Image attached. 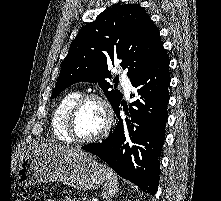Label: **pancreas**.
<instances>
[{
  "label": "pancreas",
  "instance_id": "1",
  "mask_svg": "<svg viewBox=\"0 0 221 201\" xmlns=\"http://www.w3.org/2000/svg\"><path fill=\"white\" fill-rule=\"evenodd\" d=\"M81 200H82L81 196H79L76 201H81Z\"/></svg>",
  "mask_w": 221,
  "mask_h": 201
}]
</instances>
